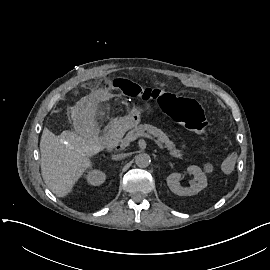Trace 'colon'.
I'll use <instances>...</instances> for the list:
<instances>
[{
  "label": "colon",
  "instance_id": "colon-1",
  "mask_svg": "<svg viewBox=\"0 0 270 270\" xmlns=\"http://www.w3.org/2000/svg\"><path fill=\"white\" fill-rule=\"evenodd\" d=\"M119 89L130 98H142L144 102H156L161 111L186 129L203 133L208 130L210 124L206 120L202 108L193 99H187L169 91L144 88L134 81L116 79ZM235 165L231 156H226L219 164L223 173L230 172Z\"/></svg>",
  "mask_w": 270,
  "mask_h": 270
}]
</instances>
